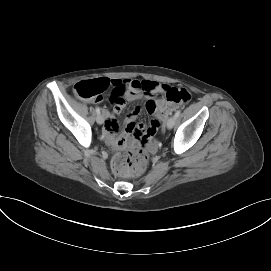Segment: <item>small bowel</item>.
Returning <instances> with one entry per match:
<instances>
[{"label": "small bowel", "mask_w": 271, "mask_h": 271, "mask_svg": "<svg viewBox=\"0 0 271 271\" xmlns=\"http://www.w3.org/2000/svg\"><path fill=\"white\" fill-rule=\"evenodd\" d=\"M109 81L111 84L108 85L107 92L111 95L110 102L113 108L111 112L104 110L105 124L103 128L105 139L109 145L113 147L121 146L132 134L135 139H140L146 132L145 124L135 123L139 114V109L136 108L126 116L124 121L125 131L123 134L118 135L119 125L115 116L123 111L126 101L145 99V107L149 113L154 114L158 119L166 118L168 110L172 106L171 103L160 96L166 85L151 80L127 79ZM158 119L155 120L159 122Z\"/></svg>", "instance_id": "small-bowel-1"}]
</instances>
